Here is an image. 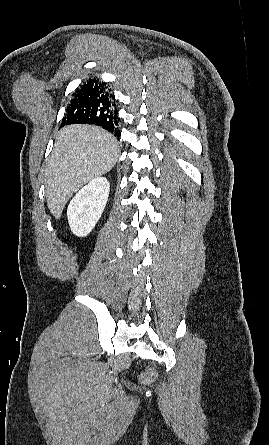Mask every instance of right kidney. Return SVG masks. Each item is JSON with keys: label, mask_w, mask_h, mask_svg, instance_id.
<instances>
[{"label": "right kidney", "mask_w": 269, "mask_h": 445, "mask_svg": "<svg viewBox=\"0 0 269 445\" xmlns=\"http://www.w3.org/2000/svg\"><path fill=\"white\" fill-rule=\"evenodd\" d=\"M110 183L104 177L91 180L71 200L68 223L73 234L87 236L100 219L108 201Z\"/></svg>", "instance_id": "obj_1"}]
</instances>
